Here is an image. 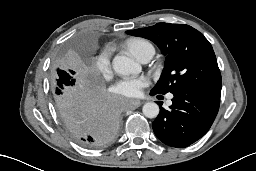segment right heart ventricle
<instances>
[{
	"label": "right heart ventricle",
	"instance_id": "1",
	"mask_svg": "<svg viewBox=\"0 0 256 171\" xmlns=\"http://www.w3.org/2000/svg\"><path fill=\"white\" fill-rule=\"evenodd\" d=\"M126 49L138 60L148 55H154L155 48L153 44L143 38H132L125 43Z\"/></svg>",
	"mask_w": 256,
	"mask_h": 171
}]
</instances>
